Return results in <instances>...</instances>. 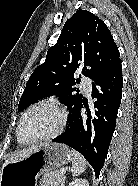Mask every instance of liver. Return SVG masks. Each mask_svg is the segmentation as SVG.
<instances>
[{"instance_id": "6515ba94", "label": "liver", "mask_w": 138, "mask_h": 186, "mask_svg": "<svg viewBox=\"0 0 138 186\" xmlns=\"http://www.w3.org/2000/svg\"><path fill=\"white\" fill-rule=\"evenodd\" d=\"M42 144L39 145H34L31 147H28L26 149L17 151L11 155H9L8 159L5 161V163L3 164V167L9 163L10 161H12L13 159H18V158H24L29 156L30 154H32L34 151H36Z\"/></svg>"}]
</instances>
